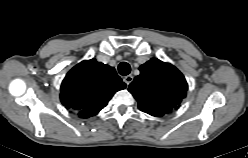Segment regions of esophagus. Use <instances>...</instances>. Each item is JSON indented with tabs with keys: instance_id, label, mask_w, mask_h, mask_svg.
I'll return each mask as SVG.
<instances>
[{
	"instance_id": "esophagus-1",
	"label": "esophagus",
	"mask_w": 248,
	"mask_h": 158,
	"mask_svg": "<svg viewBox=\"0 0 248 158\" xmlns=\"http://www.w3.org/2000/svg\"><path fill=\"white\" fill-rule=\"evenodd\" d=\"M124 82L129 85L133 81V76L132 75H127L124 77Z\"/></svg>"
}]
</instances>
